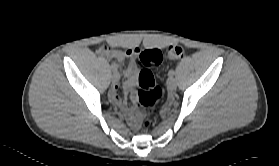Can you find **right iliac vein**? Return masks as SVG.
Wrapping results in <instances>:
<instances>
[{
	"mask_svg": "<svg viewBox=\"0 0 279 166\" xmlns=\"http://www.w3.org/2000/svg\"><path fill=\"white\" fill-rule=\"evenodd\" d=\"M119 79H120V75L117 71H115L112 75V82L117 83L119 81Z\"/></svg>",
	"mask_w": 279,
	"mask_h": 166,
	"instance_id": "right-iliac-vein-1",
	"label": "right iliac vein"
}]
</instances>
